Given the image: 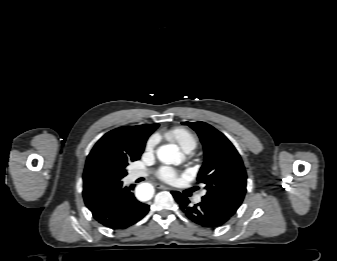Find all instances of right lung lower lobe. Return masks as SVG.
<instances>
[{"mask_svg": "<svg viewBox=\"0 0 337 261\" xmlns=\"http://www.w3.org/2000/svg\"><path fill=\"white\" fill-rule=\"evenodd\" d=\"M134 186L122 183L106 194L92 210L93 217L111 229H125L141 220L149 211V205L139 202L131 192Z\"/></svg>", "mask_w": 337, "mask_h": 261, "instance_id": "obj_1", "label": "right lung lower lobe"}]
</instances>
